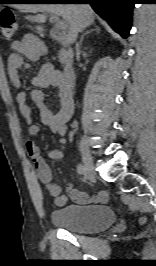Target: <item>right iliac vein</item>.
I'll return each mask as SVG.
<instances>
[{
  "label": "right iliac vein",
  "instance_id": "1",
  "mask_svg": "<svg viewBox=\"0 0 156 266\" xmlns=\"http://www.w3.org/2000/svg\"><path fill=\"white\" fill-rule=\"evenodd\" d=\"M80 151H81V157L84 165V171L86 177L91 180L94 178V165H93V160L92 156L89 152V150L85 147L84 143L81 142L80 144Z\"/></svg>",
  "mask_w": 156,
  "mask_h": 266
}]
</instances>
